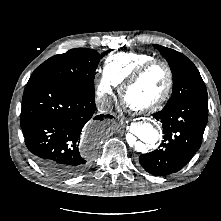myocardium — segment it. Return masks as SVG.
Listing matches in <instances>:
<instances>
[{
  "mask_svg": "<svg viewBox=\"0 0 221 221\" xmlns=\"http://www.w3.org/2000/svg\"><path fill=\"white\" fill-rule=\"evenodd\" d=\"M156 65L163 66L167 73L168 81H167V86H166L164 93L155 102H153L152 104L146 107L139 108V107H135L131 105L127 101V97H126L127 91L129 90L130 87H132L135 83H137L150 68ZM173 87H174V75H173L172 68L166 61L155 58L140 65L121 85L119 94H120L121 102L126 109H128L129 111L135 114L144 115V114L154 113L158 111L159 109H161L169 100L173 92Z\"/></svg>",
  "mask_w": 221,
  "mask_h": 221,
  "instance_id": "1",
  "label": "myocardium"
}]
</instances>
